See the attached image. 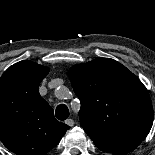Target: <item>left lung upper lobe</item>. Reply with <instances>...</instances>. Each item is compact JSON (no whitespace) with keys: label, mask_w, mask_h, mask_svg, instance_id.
Instances as JSON below:
<instances>
[{"label":"left lung upper lobe","mask_w":155,"mask_h":155,"mask_svg":"<svg viewBox=\"0 0 155 155\" xmlns=\"http://www.w3.org/2000/svg\"><path fill=\"white\" fill-rule=\"evenodd\" d=\"M81 125L94 143L145 138L153 124L146 87L119 62L97 58L69 70Z\"/></svg>","instance_id":"obj_1"}]
</instances>
